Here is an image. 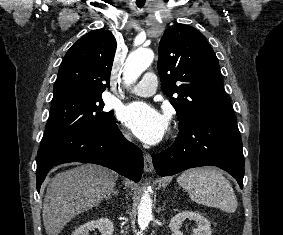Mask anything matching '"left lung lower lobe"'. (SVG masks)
I'll return each instance as SVG.
<instances>
[{
    "label": "left lung lower lobe",
    "instance_id": "0a47b994",
    "mask_svg": "<svg viewBox=\"0 0 283 235\" xmlns=\"http://www.w3.org/2000/svg\"><path fill=\"white\" fill-rule=\"evenodd\" d=\"M152 158L161 176L210 165L227 171L243 187L244 156L236 117L199 122L179 130L174 144Z\"/></svg>",
    "mask_w": 283,
    "mask_h": 235
}]
</instances>
